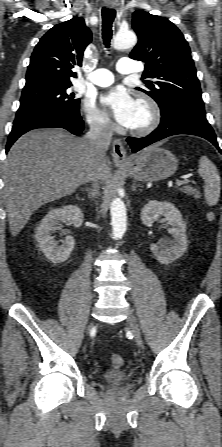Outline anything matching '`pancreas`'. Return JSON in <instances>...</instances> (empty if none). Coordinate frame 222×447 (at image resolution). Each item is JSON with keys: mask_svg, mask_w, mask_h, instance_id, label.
Returning a JSON list of instances; mask_svg holds the SVG:
<instances>
[{"mask_svg": "<svg viewBox=\"0 0 222 447\" xmlns=\"http://www.w3.org/2000/svg\"><path fill=\"white\" fill-rule=\"evenodd\" d=\"M181 191L187 195L193 196L196 199H199L201 197L200 192L191 186H185V187L181 188Z\"/></svg>", "mask_w": 222, "mask_h": 447, "instance_id": "obj_1", "label": "pancreas"}]
</instances>
